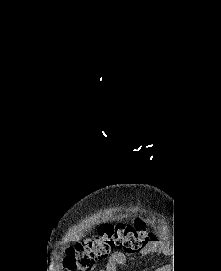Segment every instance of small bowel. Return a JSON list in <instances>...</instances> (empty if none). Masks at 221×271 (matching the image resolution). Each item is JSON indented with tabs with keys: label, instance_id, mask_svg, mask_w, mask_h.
Returning a JSON list of instances; mask_svg holds the SVG:
<instances>
[{
	"label": "small bowel",
	"instance_id": "1",
	"mask_svg": "<svg viewBox=\"0 0 221 271\" xmlns=\"http://www.w3.org/2000/svg\"><path fill=\"white\" fill-rule=\"evenodd\" d=\"M160 249L161 246L157 242H150L142 249L132 253H124L120 251L114 252L110 255L106 267L105 269H102V271H117L119 266L126 264L129 257H143L148 254L157 252ZM157 271H163V269H158Z\"/></svg>",
	"mask_w": 221,
	"mask_h": 271
}]
</instances>
